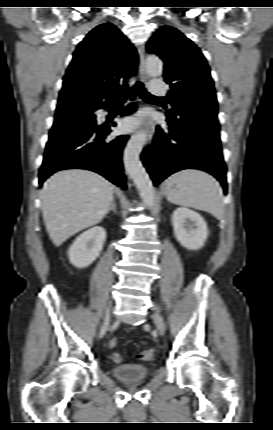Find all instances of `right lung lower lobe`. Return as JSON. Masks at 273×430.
<instances>
[{"instance_id": "1", "label": "right lung lower lobe", "mask_w": 273, "mask_h": 430, "mask_svg": "<svg viewBox=\"0 0 273 430\" xmlns=\"http://www.w3.org/2000/svg\"><path fill=\"white\" fill-rule=\"evenodd\" d=\"M131 90V99L134 97ZM107 105L96 106V109ZM134 104L127 106L122 115L134 112ZM115 125V124H114ZM110 133L108 125H95L90 130L49 140L43 164L39 171V184L56 171L72 168L87 169L103 175L117 186L126 188L121 155L127 136L104 141Z\"/></svg>"}]
</instances>
